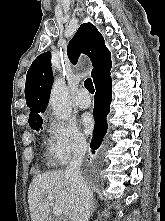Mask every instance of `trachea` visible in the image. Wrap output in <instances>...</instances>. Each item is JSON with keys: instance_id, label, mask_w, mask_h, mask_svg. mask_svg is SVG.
Returning a JSON list of instances; mask_svg holds the SVG:
<instances>
[{"instance_id": "trachea-1", "label": "trachea", "mask_w": 165, "mask_h": 221, "mask_svg": "<svg viewBox=\"0 0 165 221\" xmlns=\"http://www.w3.org/2000/svg\"><path fill=\"white\" fill-rule=\"evenodd\" d=\"M84 86L91 94L94 93L95 90H94V86H93V82H92L91 78H87L85 80Z\"/></svg>"}]
</instances>
